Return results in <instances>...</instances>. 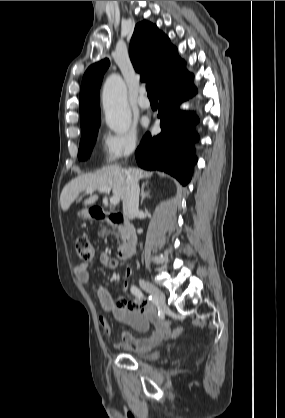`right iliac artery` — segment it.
Instances as JSON below:
<instances>
[{"instance_id":"right-iliac-artery-1","label":"right iliac artery","mask_w":285,"mask_h":418,"mask_svg":"<svg viewBox=\"0 0 285 418\" xmlns=\"http://www.w3.org/2000/svg\"><path fill=\"white\" fill-rule=\"evenodd\" d=\"M131 292L138 297L139 299H144L146 296L144 295V293L137 287V286H131ZM151 297H149L150 299ZM159 316H163V314L158 313Z\"/></svg>"}]
</instances>
